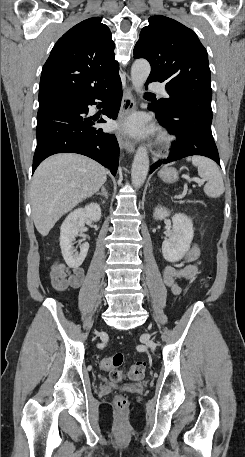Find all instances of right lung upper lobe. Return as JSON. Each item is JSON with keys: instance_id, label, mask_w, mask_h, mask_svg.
<instances>
[{"instance_id": "right-lung-upper-lobe-1", "label": "right lung upper lobe", "mask_w": 245, "mask_h": 457, "mask_svg": "<svg viewBox=\"0 0 245 457\" xmlns=\"http://www.w3.org/2000/svg\"><path fill=\"white\" fill-rule=\"evenodd\" d=\"M111 36L100 17L88 18L67 31L44 64L39 108L88 94L119 78Z\"/></svg>"}]
</instances>
